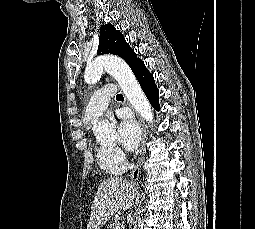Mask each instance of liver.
Wrapping results in <instances>:
<instances>
[{
  "mask_svg": "<svg viewBox=\"0 0 255 229\" xmlns=\"http://www.w3.org/2000/svg\"><path fill=\"white\" fill-rule=\"evenodd\" d=\"M134 197L133 185L123 178L101 182L91 206L87 229H100L119 209H129Z\"/></svg>",
  "mask_w": 255,
  "mask_h": 229,
  "instance_id": "liver-1",
  "label": "liver"
}]
</instances>
